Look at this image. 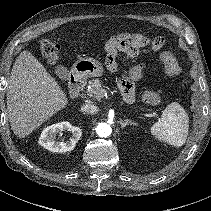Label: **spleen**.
Segmentation results:
<instances>
[{"instance_id": "1", "label": "spleen", "mask_w": 211, "mask_h": 211, "mask_svg": "<svg viewBox=\"0 0 211 211\" xmlns=\"http://www.w3.org/2000/svg\"><path fill=\"white\" fill-rule=\"evenodd\" d=\"M188 129L187 113L179 103L173 102L164 109L159 121L150 127V133L155 139L180 147L186 142Z\"/></svg>"}]
</instances>
